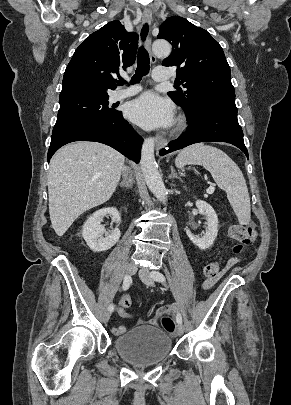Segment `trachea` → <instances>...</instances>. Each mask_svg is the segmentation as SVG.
<instances>
[{"label": "trachea", "mask_w": 291, "mask_h": 405, "mask_svg": "<svg viewBox=\"0 0 291 405\" xmlns=\"http://www.w3.org/2000/svg\"><path fill=\"white\" fill-rule=\"evenodd\" d=\"M148 25H144L141 30V39L144 41L147 34H148ZM150 58L149 54L147 53L146 49L141 46L138 50L137 56V68L136 72L132 77L131 83H138L144 75H147L150 70ZM126 81L124 79H119L117 81L118 85H124Z\"/></svg>", "instance_id": "obj_1"}]
</instances>
